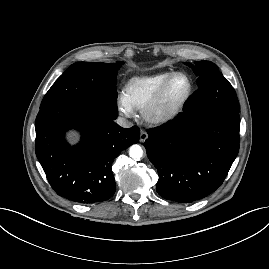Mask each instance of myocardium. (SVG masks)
<instances>
[{
	"instance_id": "myocardium-1",
	"label": "myocardium",
	"mask_w": 269,
	"mask_h": 269,
	"mask_svg": "<svg viewBox=\"0 0 269 269\" xmlns=\"http://www.w3.org/2000/svg\"><path fill=\"white\" fill-rule=\"evenodd\" d=\"M182 76L188 81V89L183 98L176 104L162 108V101L170 83L177 77ZM193 92V83L191 78L184 72L172 73L158 88L154 96L142 109V117L145 121L155 125H161L170 122L178 116L188 103Z\"/></svg>"
}]
</instances>
